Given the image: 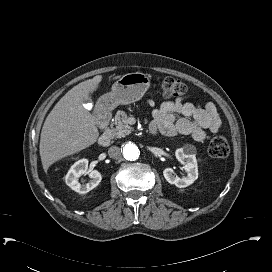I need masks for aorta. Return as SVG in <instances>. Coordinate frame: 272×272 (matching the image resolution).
<instances>
[{"instance_id": "762f6f07", "label": "aorta", "mask_w": 272, "mask_h": 272, "mask_svg": "<svg viewBox=\"0 0 272 272\" xmlns=\"http://www.w3.org/2000/svg\"><path fill=\"white\" fill-rule=\"evenodd\" d=\"M140 150L136 143L127 142L123 145V156L125 159L134 161L139 158Z\"/></svg>"}]
</instances>
